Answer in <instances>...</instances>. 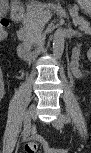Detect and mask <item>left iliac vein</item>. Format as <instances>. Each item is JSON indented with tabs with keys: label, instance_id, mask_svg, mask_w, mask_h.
<instances>
[{
	"label": "left iliac vein",
	"instance_id": "4c4485c4",
	"mask_svg": "<svg viewBox=\"0 0 91 153\" xmlns=\"http://www.w3.org/2000/svg\"><path fill=\"white\" fill-rule=\"evenodd\" d=\"M53 126L58 129V130H62L63 129V120L61 118V115L59 117H57L53 122H52Z\"/></svg>",
	"mask_w": 91,
	"mask_h": 153
}]
</instances>
